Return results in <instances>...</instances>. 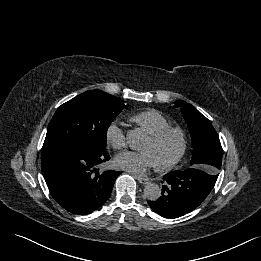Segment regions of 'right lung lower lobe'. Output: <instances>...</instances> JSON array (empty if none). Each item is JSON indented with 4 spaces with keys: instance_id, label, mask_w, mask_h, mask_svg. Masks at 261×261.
<instances>
[{
    "instance_id": "1",
    "label": "right lung lower lobe",
    "mask_w": 261,
    "mask_h": 261,
    "mask_svg": "<svg viewBox=\"0 0 261 261\" xmlns=\"http://www.w3.org/2000/svg\"><path fill=\"white\" fill-rule=\"evenodd\" d=\"M110 159L106 150L59 149L41 154L42 174L55 201L67 211L83 215L99 208L110 196L121 171L100 173Z\"/></svg>"
}]
</instances>
